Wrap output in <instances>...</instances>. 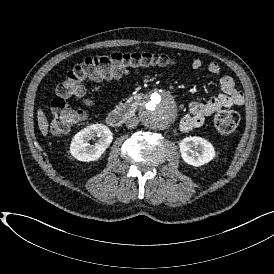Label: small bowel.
I'll return each mask as SVG.
<instances>
[{"mask_svg":"<svg viewBox=\"0 0 274 274\" xmlns=\"http://www.w3.org/2000/svg\"><path fill=\"white\" fill-rule=\"evenodd\" d=\"M203 67V61L200 58H194L191 61L193 70H200ZM207 70L211 74L221 73V66L217 62H210ZM221 93L216 97L205 102H192L189 106V113L183 117L180 128L183 132H189L195 128L201 127L207 118L212 116L221 108H230L244 103V93L236 87L235 81L230 76H223L220 79Z\"/></svg>","mask_w":274,"mask_h":274,"instance_id":"obj_1","label":"small bowel"}]
</instances>
